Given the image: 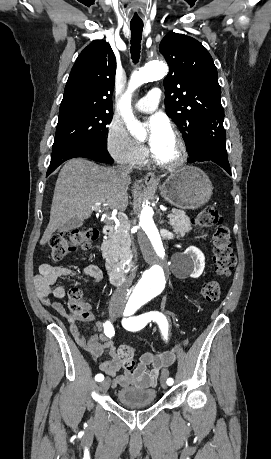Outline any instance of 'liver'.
I'll list each match as a JSON object with an SVG mask.
<instances>
[{
  "label": "liver",
  "instance_id": "liver-1",
  "mask_svg": "<svg viewBox=\"0 0 271 459\" xmlns=\"http://www.w3.org/2000/svg\"><path fill=\"white\" fill-rule=\"evenodd\" d=\"M131 184L127 174L98 166L86 158L66 162L57 178L50 220L40 243H47L55 229L72 218L87 220L96 206L107 204L110 210H126V192Z\"/></svg>",
  "mask_w": 271,
  "mask_h": 459
}]
</instances>
